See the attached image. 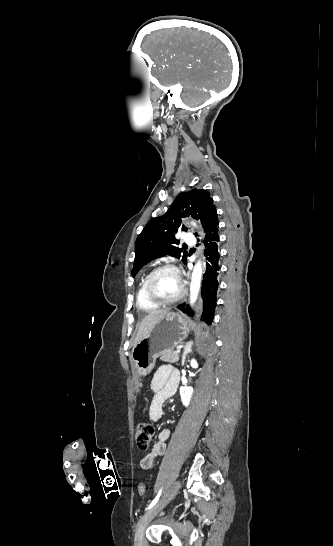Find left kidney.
<instances>
[{"mask_svg":"<svg viewBox=\"0 0 333 546\" xmlns=\"http://www.w3.org/2000/svg\"><path fill=\"white\" fill-rule=\"evenodd\" d=\"M190 364L193 368H197L198 367V363L195 359H192L190 361ZM192 394H193V388L192 387H186V386H182L180 387V396H181V401L183 403L184 406H188L189 403H190V400H191V397H192Z\"/></svg>","mask_w":333,"mask_h":546,"instance_id":"1","label":"left kidney"}]
</instances>
